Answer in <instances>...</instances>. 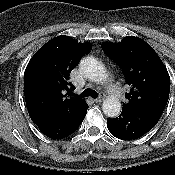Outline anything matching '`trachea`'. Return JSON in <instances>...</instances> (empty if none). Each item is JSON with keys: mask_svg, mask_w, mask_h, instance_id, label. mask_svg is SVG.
Segmentation results:
<instances>
[{"mask_svg": "<svg viewBox=\"0 0 175 175\" xmlns=\"http://www.w3.org/2000/svg\"><path fill=\"white\" fill-rule=\"evenodd\" d=\"M89 96L93 97V98H97L98 97V93L95 90L87 88L80 95L81 98H85V97H89Z\"/></svg>", "mask_w": 175, "mask_h": 175, "instance_id": "trachea-1", "label": "trachea"}]
</instances>
